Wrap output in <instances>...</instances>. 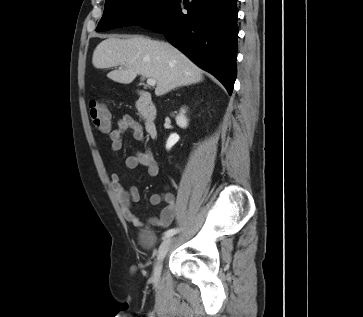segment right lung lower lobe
Returning <instances> with one entry per match:
<instances>
[{"label": "right lung lower lobe", "instance_id": "1", "mask_svg": "<svg viewBox=\"0 0 363 317\" xmlns=\"http://www.w3.org/2000/svg\"><path fill=\"white\" fill-rule=\"evenodd\" d=\"M236 2L192 0L184 6L176 0L160 17L141 26L163 32L172 45L214 75L231 94L237 75Z\"/></svg>", "mask_w": 363, "mask_h": 317}]
</instances>
